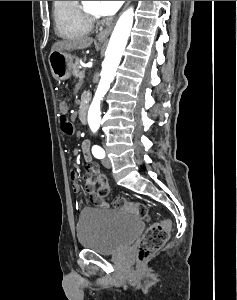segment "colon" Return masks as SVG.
Here are the masks:
<instances>
[{"mask_svg": "<svg viewBox=\"0 0 237 300\" xmlns=\"http://www.w3.org/2000/svg\"><path fill=\"white\" fill-rule=\"evenodd\" d=\"M59 126L63 134L71 136L74 134V125L65 112L59 116ZM89 179L94 186H97L96 195L105 197L109 194L110 188L104 176H94L89 174ZM115 208L131 213L140 219H146L147 207L141 202L130 201L123 197L114 200ZM171 231V222L166 218H161L152 223L141 238L137 248V259L140 262L153 257L166 243Z\"/></svg>", "mask_w": 237, "mask_h": 300, "instance_id": "colon-1", "label": "colon"}]
</instances>
